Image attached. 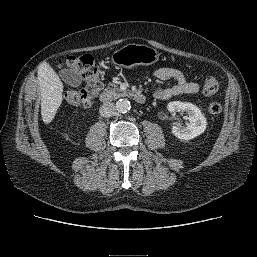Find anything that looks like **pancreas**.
<instances>
[{"instance_id":"cf45deb5","label":"pancreas","mask_w":257,"mask_h":257,"mask_svg":"<svg viewBox=\"0 0 257 257\" xmlns=\"http://www.w3.org/2000/svg\"><path fill=\"white\" fill-rule=\"evenodd\" d=\"M104 94L109 97V98H118V97H121L123 95H125L124 92H122L121 89H119L117 87L116 84L114 83H110L107 88L105 89V92Z\"/></svg>"}]
</instances>
